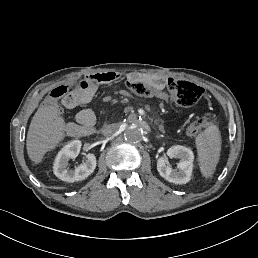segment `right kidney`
<instances>
[{
    "label": "right kidney",
    "instance_id": "right-kidney-1",
    "mask_svg": "<svg viewBox=\"0 0 258 258\" xmlns=\"http://www.w3.org/2000/svg\"><path fill=\"white\" fill-rule=\"evenodd\" d=\"M81 146V140L76 139L61 148L53 164V172L56 177L63 181L75 182L83 180L93 173L96 167V159L93 155H89L85 162L74 167V169L67 168L68 160L77 157Z\"/></svg>",
    "mask_w": 258,
    "mask_h": 258
}]
</instances>
